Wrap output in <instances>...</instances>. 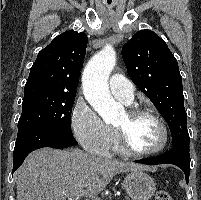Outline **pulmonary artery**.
<instances>
[{
  "instance_id": "obj_1",
  "label": "pulmonary artery",
  "mask_w": 201,
  "mask_h": 200,
  "mask_svg": "<svg viewBox=\"0 0 201 200\" xmlns=\"http://www.w3.org/2000/svg\"><path fill=\"white\" fill-rule=\"evenodd\" d=\"M109 88L112 95L124 103H131L134 99L133 84L120 74H113L110 77Z\"/></svg>"
}]
</instances>
